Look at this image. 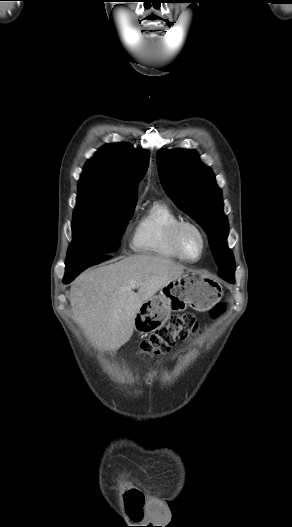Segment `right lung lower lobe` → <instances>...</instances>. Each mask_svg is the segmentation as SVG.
Returning <instances> with one entry per match:
<instances>
[{
  "label": "right lung lower lobe",
  "mask_w": 292,
  "mask_h": 527,
  "mask_svg": "<svg viewBox=\"0 0 292 527\" xmlns=\"http://www.w3.org/2000/svg\"><path fill=\"white\" fill-rule=\"evenodd\" d=\"M109 257H92V258H77L67 259L65 264L64 284H69L77 275H79L86 268L95 264L108 260Z\"/></svg>",
  "instance_id": "obj_1"
}]
</instances>
